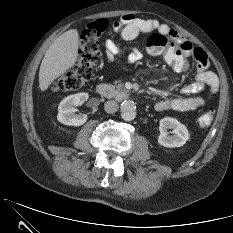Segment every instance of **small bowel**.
I'll return each instance as SVG.
<instances>
[{
  "instance_id": "c3829d8e",
  "label": "small bowel",
  "mask_w": 233,
  "mask_h": 233,
  "mask_svg": "<svg viewBox=\"0 0 233 233\" xmlns=\"http://www.w3.org/2000/svg\"><path fill=\"white\" fill-rule=\"evenodd\" d=\"M113 30L119 34L123 41H131L141 33L159 32L169 35L176 41L187 58L191 57L195 60L197 73L194 81L183 86L181 92L186 95H195L206 90V96L166 98L155 104L156 111L194 112L204 107L218 92L219 80L216 74L209 70V59L206 52L202 48L191 44L168 25L156 19H143L132 14H125L121 16L119 21L114 23ZM105 50L108 61H112L117 55H126L131 63H136L142 58V54L138 49L126 52L118 43L111 40L105 43Z\"/></svg>"
}]
</instances>
